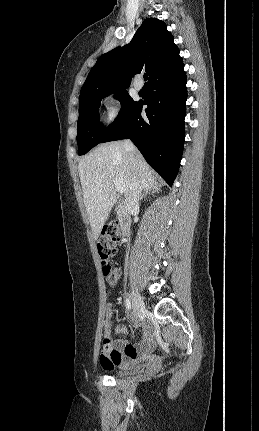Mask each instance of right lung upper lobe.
<instances>
[{
	"label": "right lung upper lobe",
	"mask_w": 259,
	"mask_h": 431,
	"mask_svg": "<svg viewBox=\"0 0 259 431\" xmlns=\"http://www.w3.org/2000/svg\"><path fill=\"white\" fill-rule=\"evenodd\" d=\"M181 63L179 49L166 24L156 18H148L128 45L99 57L80 91V100L94 93L126 89L132 76L142 69L149 74V84Z\"/></svg>",
	"instance_id": "1"
}]
</instances>
